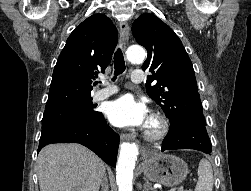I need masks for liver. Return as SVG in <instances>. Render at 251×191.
Returning a JSON list of instances; mask_svg holds the SVG:
<instances>
[{
    "label": "liver",
    "mask_w": 251,
    "mask_h": 191,
    "mask_svg": "<svg viewBox=\"0 0 251 191\" xmlns=\"http://www.w3.org/2000/svg\"><path fill=\"white\" fill-rule=\"evenodd\" d=\"M40 191H99L105 163L80 143H50L37 157Z\"/></svg>",
    "instance_id": "1"
}]
</instances>
